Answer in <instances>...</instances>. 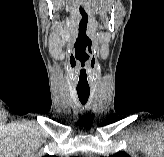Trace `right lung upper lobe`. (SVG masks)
Masks as SVG:
<instances>
[{
    "label": "right lung upper lobe",
    "mask_w": 164,
    "mask_h": 157,
    "mask_svg": "<svg viewBox=\"0 0 164 157\" xmlns=\"http://www.w3.org/2000/svg\"><path fill=\"white\" fill-rule=\"evenodd\" d=\"M44 157H57V156H49V155H48V156H44Z\"/></svg>",
    "instance_id": "cb5924a9"
}]
</instances>
